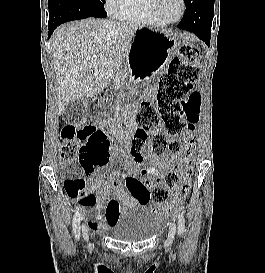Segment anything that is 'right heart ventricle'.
Returning a JSON list of instances; mask_svg holds the SVG:
<instances>
[{
  "label": "right heart ventricle",
  "mask_w": 265,
  "mask_h": 273,
  "mask_svg": "<svg viewBox=\"0 0 265 273\" xmlns=\"http://www.w3.org/2000/svg\"><path fill=\"white\" fill-rule=\"evenodd\" d=\"M116 16L121 20L153 27H164L167 25L156 15L154 0H123Z\"/></svg>",
  "instance_id": "right-heart-ventricle-1"
}]
</instances>
